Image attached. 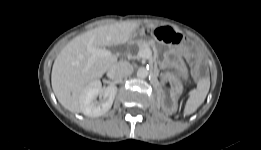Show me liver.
<instances>
[{"instance_id":"1","label":"liver","mask_w":261,"mask_h":150,"mask_svg":"<svg viewBox=\"0 0 261 150\" xmlns=\"http://www.w3.org/2000/svg\"><path fill=\"white\" fill-rule=\"evenodd\" d=\"M139 26L137 22L100 26L78 35L61 50L52 67L51 83L56 98L64 108L81 113L84 89L117 63V57L111 54L98 57L89 65L91 53L87 50L88 45L92 43L94 47L101 48L125 44ZM155 26L148 25L150 28Z\"/></svg>"}]
</instances>
